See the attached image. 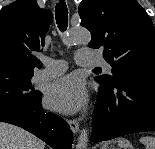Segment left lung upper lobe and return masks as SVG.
Instances as JSON below:
<instances>
[{
    "label": "left lung upper lobe",
    "instance_id": "5c2ea615",
    "mask_svg": "<svg viewBox=\"0 0 155 149\" xmlns=\"http://www.w3.org/2000/svg\"><path fill=\"white\" fill-rule=\"evenodd\" d=\"M81 25L91 32L89 47L103 50L112 76L96 77L108 85L136 70H155V28L136 0H82Z\"/></svg>",
    "mask_w": 155,
    "mask_h": 149
}]
</instances>
